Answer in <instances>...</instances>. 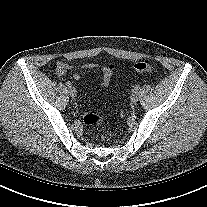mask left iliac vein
Listing matches in <instances>:
<instances>
[{
	"label": "left iliac vein",
	"instance_id": "4c4485c4",
	"mask_svg": "<svg viewBox=\"0 0 207 207\" xmlns=\"http://www.w3.org/2000/svg\"><path fill=\"white\" fill-rule=\"evenodd\" d=\"M139 99V93L135 90L131 93L130 100L132 103H136Z\"/></svg>",
	"mask_w": 207,
	"mask_h": 207
}]
</instances>
